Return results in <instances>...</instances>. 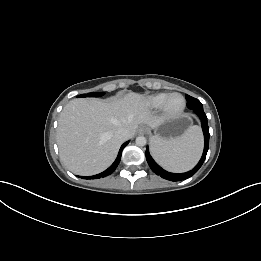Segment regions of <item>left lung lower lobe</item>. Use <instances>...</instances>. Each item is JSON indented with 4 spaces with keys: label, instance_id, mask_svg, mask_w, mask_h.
<instances>
[{
    "label": "left lung lower lobe",
    "instance_id": "1",
    "mask_svg": "<svg viewBox=\"0 0 261 261\" xmlns=\"http://www.w3.org/2000/svg\"><path fill=\"white\" fill-rule=\"evenodd\" d=\"M192 110L199 116V118L201 120L202 130H203V134H204V141H205L202 157H201L200 161L198 162V164L192 170H190L186 173H180V174L170 173V172L162 169L152 159L148 148L146 150V159H147L148 165L150 166L151 170L155 174L161 176L164 179H167L170 181H181V180L188 179V178L192 177L200 169V167L202 166V164L205 161L208 147H209V127H208V123H207V116L204 113L203 109H192Z\"/></svg>",
    "mask_w": 261,
    "mask_h": 261
}]
</instances>
